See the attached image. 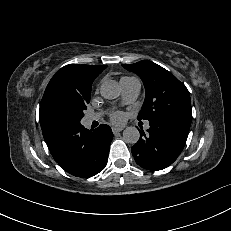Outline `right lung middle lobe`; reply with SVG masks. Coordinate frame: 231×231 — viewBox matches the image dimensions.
I'll list each match as a JSON object with an SVG mask.
<instances>
[{
	"mask_svg": "<svg viewBox=\"0 0 231 231\" xmlns=\"http://www.w3.org/2000/svg\"><path fill=\"white\" fill-rule=\"evenodd\" d=\"M90 102V98H83L63 91L55 92L46 102L48 117L64 127L80 123L83 111Z\"/></svg>",
	"mask_w": 231,
	"mask_h": 231,
	"instance_id": "right-lung-middle-lobe-1",
	"label": "right lung middle lobe"
}]
</instances>
